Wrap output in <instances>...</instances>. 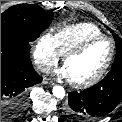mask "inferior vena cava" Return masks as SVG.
Wrapping results in <instances>:
<instances>
[{
    "label": "inferior vena cava",
    "mask_w": 122,
    "mask_h": 122,
    "mask_svg": "<svg viewBox=\"0 0 122 122\" xmlns=\"http://www.w3.org/2000/svg\"><path fill=\"white\" fill-rule=\"evenodd\" d=\"M38 70L41 71L42 73H49L51 71V66L49 65H38L37 66Z\"/></svg>",
    "instance_id": "obj_1"
}]
</instances>
